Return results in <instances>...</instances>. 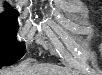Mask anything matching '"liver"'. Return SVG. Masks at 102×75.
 <instances>
[{
  "mask_svg": "<svg viewBox=\"0 0 102 75\" xmlns=\"http://www.w3.org/2000/svg\"><path fill=\"white\" fill-rule=\"evenodd\" d=\"M1 75H64V72L49 64H36L16 70L1 71Z\"/></svg>",
  "mask_w": 102,
  "mask_h": 75,
  "instance_id": "6515ba94",
  "label": "liver"
}]
</instances>
